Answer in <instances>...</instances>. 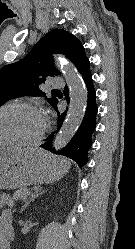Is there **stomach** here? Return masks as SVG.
<instances>
[{"instance_id": "0dacf381", "label": "stomach", "mask_w": 135, "mask_h": 249, "mask_svg": "<svg viewBox=\"0 0 135 249\" xmlns=\"http://www.w3.org/2000/svg\"><path fill=\"white\" fill-rule=\"evenodd\" d=\"M70 164L61 163L38 148H0V189L50 183L61 178Z\"/></svg>"}]
</instances>
